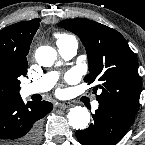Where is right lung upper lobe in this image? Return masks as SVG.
<instances>
[{
  "instance_id": "right-lung-upper-lobe-1",
  "label": "right lung upper lobe",
  "mask_w": 145,
  "mask_h": 145,
  "mask_svg": "<svg viewBox=\"0 0 145 145\" xmlns=\"http://www.w3.org/2000/svg\"><path fill=\"white\" fill-rule=\"evenodd\" d=\"M39 22V19L23 21L0 31V65L10 66L20 76L26 75V55L33 36L39 28Z\"/></svg>"
}]
</instances>
